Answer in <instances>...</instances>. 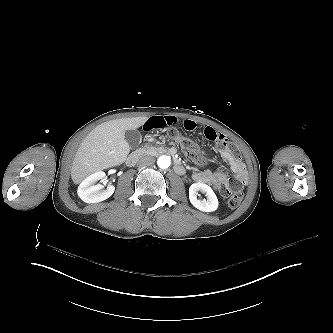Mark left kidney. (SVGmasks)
I'll use <instances>...</instances> for the list:
<instances>
[{
    "instance_id": "obj_1",
    "label": "left kidney",
    "mask_w": 333,
    "mask_h": 333,
    "mask_svg": "<svg viewBox=\"0 0 333 333\" xmlns=\"http://www.w3.org/2000/svg\"><path fill=\"white\" fill-rule=\"evenodd\" d=\"M203 191L207 195V200L197 199V191ZM189 201L198 210L202 212H214L219 207V201L212 188L201 182L193 183L189 188Z\"/></svg>"
}]
</instances>
